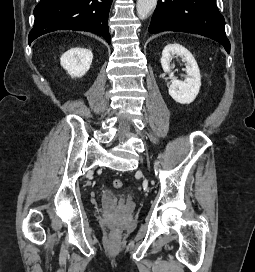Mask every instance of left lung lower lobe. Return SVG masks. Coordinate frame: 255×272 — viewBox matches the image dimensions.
<instances>
[{"instance_id": "obj_1", "label": "left lung lower lobe", "mask_w": 255, "mask_h": 272, "mask_svg": "<svg viewBox=\"0 0 255 272\" xmlns=\"http://www.w3.org/2000/svg\"><path fill=\"white\" fill-rule=\"evenodd\" d=\"M148 31L200 34L219 42L230 53L225 20L215 0H158Z\"/></svg>"}]
</instances>
